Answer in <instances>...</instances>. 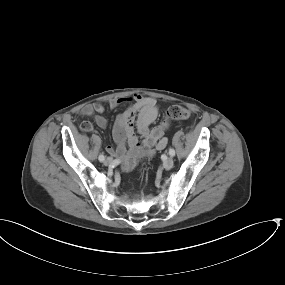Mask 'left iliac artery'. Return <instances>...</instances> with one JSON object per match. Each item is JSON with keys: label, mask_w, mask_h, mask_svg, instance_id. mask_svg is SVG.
Listing matches in <instances>:
<instances>
[{"label": "left iliac artery", "mask_w": 285, "mask_h": 285, "mask_svg": "<svg viewBox=\"0 0 285 285\" xmlns=\"http://www.w3.org/2000/svg\"><path fill=\"white\" fill-rule=\"evenodd\" d=\"M169 155L172 157L175 155V150L173 148L169 149Z\"/></svg>", "instance_id": "1"}]
</instances>
